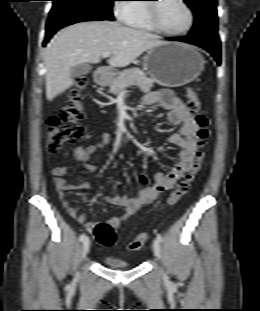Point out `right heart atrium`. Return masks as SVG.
Wrapping results in <instances>:
<instances>
[{"label":"right heart atrium","instance_id":"obj_1","mask_svg":"<svg viewBox=\"0 0 260 311\" xmlns=\"http://www.w3.org/2000/svg\"><path fill=\"white\" fill-rule=\"evenodd\" d=\"M132 6L126 3L124 0H116L114 3V14L115 16L123 22H126L131 11Z\"/></svg>","mask_w":260,"mask_h":311}]
</instances>
